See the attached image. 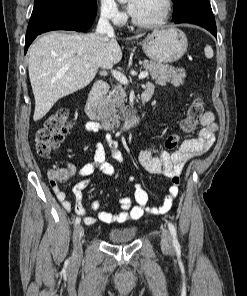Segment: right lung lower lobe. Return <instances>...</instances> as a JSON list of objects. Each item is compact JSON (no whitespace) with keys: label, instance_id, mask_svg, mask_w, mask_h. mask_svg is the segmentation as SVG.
<instances>
[{"label":"right lung lower lobe","instance_id":"98d812e1","mask_svg":"<svg viewBox=\"0 0 247 296\" xmlns=\"http://www.w3.org/2000/svg\"><path fill=\"white\" fill-rule=\"evenodd\" d=\"M95 17L96 12L74 13L66 2L31 15L26 33L25 53L39 34L53 30L86 31L93 24Z\"/></svg>","mask_w":247,"mask_h":296}]
</instances>
